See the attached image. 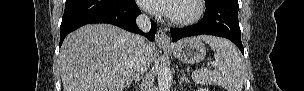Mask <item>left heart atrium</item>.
<instances>
[{
	"mask_svg": "<svg viewBox=\"0 0 304 91\" xmlns=\"http://www.w3.org/2000/svg\"><path fill=\"white\" fill-rule=\"evenodd\" d=\"M173 2V0H142L141 4L150 11L169 15Z\"/></svg>",
	"mask_w": 304,
	"mask_h": 91,
	"instance_id": "39dd6f15",
	"label": "left heart atrium"
}]
</instances>
